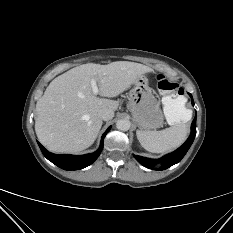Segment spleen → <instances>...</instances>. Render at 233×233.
<instances>
[{
  "mask_svg": "<svg viewBox=\"0 0 233 233\" xmlns=\"http://www.w3.org/2000/svg\"><path fill=\"white\" fill-rule=\"evenodd\" d=\"M163 104L166 120L171 127L162 131H136L142 147L152 153H165L178 148L186 139L188 130L185 124L192 117V112L184 107L181 98L165 97Z\"/></svg>",
  "mask_w": 233,
  "mask_h": 233,
  "instance_id": "obj_1",
  "label": "spleen"
}]
</instances>
